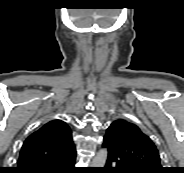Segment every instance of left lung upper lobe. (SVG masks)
Wrapping results in <instances>:
<instances>
[{
  "label": "left lung upper lobe",
  "mask_w": 184,
  "mask_h": 173,
  "mask_svg": "<svg viewBox=\"0 0 184 173\" xmlns=\"http://www.w3.org/2000/svg\"><path fill=\"white\" fill-rule=\"evenodd\" d=\"M104 141L133 173L164 172L156 146L137 125L118 119L108 127Z\"/></svg>",
  "instance_id": "left-lung-upper-lobe-1"
}]
</instances>
